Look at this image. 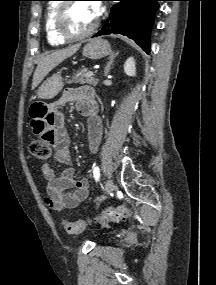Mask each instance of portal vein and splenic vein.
Instances as JSON below:
<instances>
[{
	"mask_svg": "<svg viewBox=\"0 0 216 285\" xmlns=\"http://www.w3.org/2000/svg\"><path fill=\"white\" fill-rule=\"evenodd\" d=\"M93 75H94V72H93V71H89V72H87V74H86L87 77H91V76H93Z\"/></svg>",
	"mask_w": 216,
	"mask_h": 285,
	"instance_id": "18ae733b",
	"label": "portal vein and splenic vein"
}]
</instances>
